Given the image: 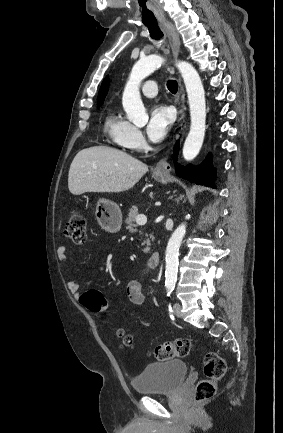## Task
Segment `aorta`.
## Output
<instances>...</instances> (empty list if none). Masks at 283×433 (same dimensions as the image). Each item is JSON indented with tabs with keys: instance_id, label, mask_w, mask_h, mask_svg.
Wrapping results in <instances>:
<instances>
[{
	"instance_id": "aorta-1",
	"label": "aorta",
	"mask_w": 283,
	"mask_h": 433,
	"mask_svg": "<svg viewBox=\"0 0 283 433\" xmlns=\"http://www.w3.org/2000/svg\"><path fill=\"white\" fill-rule=\"evenodd\" d=\"M163 62L164 59L161 56L150 55L141 58L132 68L123 92L122 105L128 120L136 126H144L148 122V115L140 96V84ZM176 66L182 75L190 108V131L183 146V157L190 161L198 155L205 137V91L198 72L191 64L179 61ZM185 232L186 225L183 223L176 228L167 245L165 270V286L167 288H173L176 283L179 248Z\"/></svg>"
}]
</instances>
